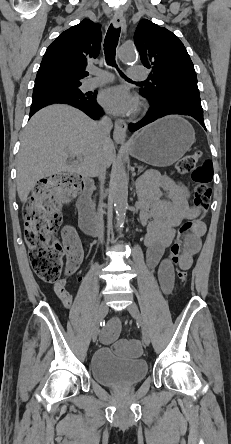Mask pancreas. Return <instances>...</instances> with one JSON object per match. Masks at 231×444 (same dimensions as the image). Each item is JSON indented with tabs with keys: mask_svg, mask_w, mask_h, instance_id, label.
<instances>
[{
	"mask_svg": "<svg viewBox=\"0 0 231 444\" xmlns=\"http://www.w3.org/2000/svg\"><path fill=\"white\" fill-rule=\"evenodd\" d=\"M137 168L140 173L146 170V167L144 165H138Z\"/></svg>",
	"mask_w": 231,
	"mask_h": 444,
	"instance_id": "pancreas-1",
	"label": "pancreas"
}]
</instances>
